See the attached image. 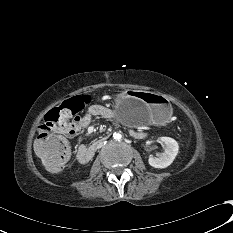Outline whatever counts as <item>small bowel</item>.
<instances>
[{"mask_svg":"<svg viewBox=\"0 0 233 233\" xmlns=\"http://www.w3.org/2000/svg\"><path fill=\"white\" fill-rule=\"evenodd\" d=\"M94 118L113 119L114 113L111 109L101 104L91 105L82 115L76 116L72 120L57 122L52 131L64 136L73 138L78 136L87 128ZM139 138H144L146 133L142 130L136 132Z\"/></svg>","mask_w":233,"mask_h":233,"instance_id":"1","label":"small bowel"}]
</instances>
